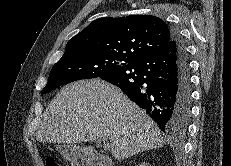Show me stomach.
<instances>
[{
	"instance_id": "obj_1",
	"label": "stomach",
	"mask_w": 231,
	"mask_h": 166,
	"mask_svg": "<svg viewBox=\"0 0 231 166\" xmlns=\"http://www.w3.org/2000/svg\"><path fill=\"white\" fill-rule=\"evenodd\" d=\"M56 149L64 157V159L83 166L87 161L86 150L74 144H58Z\"/></svg>"
}]
</instances>
